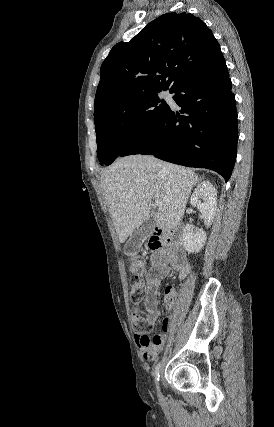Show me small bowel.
Wrapping results in <instances>:
<instances>
[{"instance_id":"obj_1","label":"small bowel","mask_w":274,"mask_h":427,"mask_svg":"<svg viewBox=\"0 0 274 427\" xmlns=\"http://www.w3.org/2000/svg\"><path fill=\"white\" fill-rule=\"evenodd\" d=\"M190 271L191 264L185 248L178 247L175 241L164 247L161 245L155 248L150 257V269L145 274L144 308L151 323H155L160 318V312L157 308V294L161 281L168 277L171 272H177L179 279L183 280ZM164 303L167 310L172 309L174 305L172 289L166 292ZM173 326V317L166 316L162 319V332L160 334L152 339L146 334L136 335V342L145 360L151 361L158 356Z\"/></svg>"}]
</instances>
